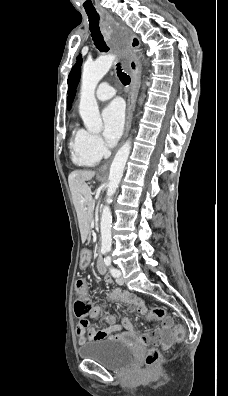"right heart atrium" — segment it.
<instances>
[{"label": "right heart atrium", "mask_w": 228, "mask_h": 396, "mask_svg": "<svg viewBox=\"0 0 228 396\" xmlns=\"http://www.w3.org/2000/svg\"><path fill=\"white\" fill-rule=\"evenodd\" d=\"M86 135L87 145L89 149L98 157H102L106 151V147L102 138L94 133L84 131Z\"/></svg>", "instance_id": "d8ad5b80"}]
</instances>
